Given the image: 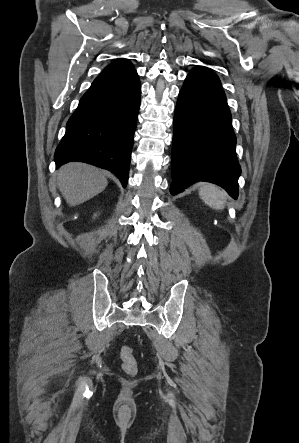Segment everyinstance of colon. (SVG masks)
I'll return each instance as SVG.
<instances>
[{"label": "colon", "instance_id": "1", "mask_svg": "<svg viewBox=\"0 0 299 443\" xmlns=\"http://www.w3.org/2000/svg\"><path fill=\"white\" fill-rule=\"evenodd\" d=\"M122 368L129 375H135L137 372V362L133 351L129 347L121 349Z\"/></svg>", "mask_w": 299, "mask_h": 443}]
</instances>
